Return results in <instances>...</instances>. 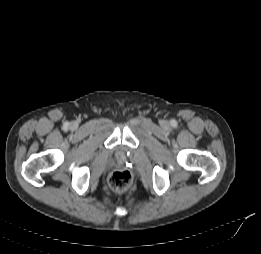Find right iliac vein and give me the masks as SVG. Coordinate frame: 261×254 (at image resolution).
Instances as JSON below:
<instances>
[{
  "label": "right iliac vein",
  "mask_w": 261,
  "mask_h": 254,
  "mask_svg": "<svg viewBox=\"0 0 261 254\" xmlns=\"http://www.w3.org/2000/svg\"><path fill=\"white\" fill-rule=\"evenodd\" d=\"M70 128L72 129V130H74V129H76L77 128V124L76 123H71L70 124Z\"/></svg>",
  "instance_id": "1"
}]
</instances>
